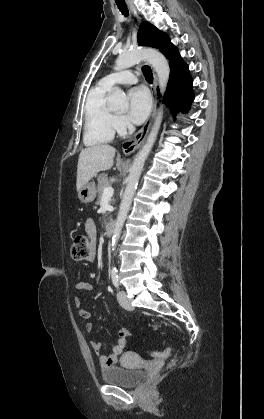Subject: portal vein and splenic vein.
<instances>
[{"label":"portal vein and splenic vein","instance_id":"portal-vein-and-splenic-vein-1","mask_svg":"<svg viewBox=\"0 0 264 419\" xmlns=\"http://www.w3.org/2000/svg\"><path fill=\"white\" fill-rule=\"evenodd\" d=\"M114 194V189L110 186L104 189L102 198H111Z\"/></svg>","mask_w":264,"mask_h":419}]
</instances>
